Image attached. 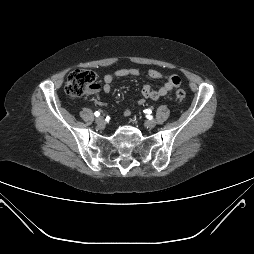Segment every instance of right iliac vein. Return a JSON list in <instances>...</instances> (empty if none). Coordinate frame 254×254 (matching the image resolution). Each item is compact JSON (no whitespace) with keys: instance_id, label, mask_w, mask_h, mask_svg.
<instances>
[{"instance_id":"63e3f726","label":"right iliac vein","mask_w":254,"mask_h":254,"mask_svg":"<svg viewBox=\"0 0 254 254\" xmlns=\"http://www.w3.org/2000/svg\"><path fill=\"white\" fill-rule=\"evenodd\" d=\"M95 121L98 125H103L105 123V119L102 116L97 117Z\"/></svg>"}]
</instances>
